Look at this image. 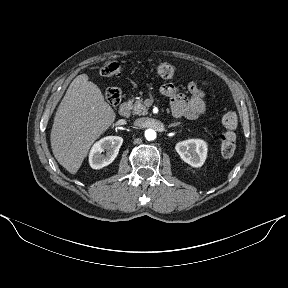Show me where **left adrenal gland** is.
<instances>
[{"label":"left adrenal gland","instance_id":"1","mask_svg":"<svg viewBox=\"0 0 288 288\" xmlns=\"http://www.w3.org/2000/svg\"><path fill=\"white\" fill-rule=\"evenodd\" d=\"M177 125H180V122L172 123V124H170V125L168 126V128H170V127H175V126H177Z\"/></svg>","mask_w":288,"mask_h":288}]
</instances>
